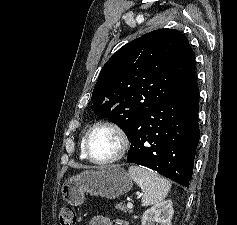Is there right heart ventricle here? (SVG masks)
<instances>
[{"label":"right heart ventricle","mask_w":237,"mask_h":225,"mask_svg":"<svg viewBox=\"0 0 237 225\" xmlns=\"http://www.w3.org/2000/svg\"><path fill=\"white\" fill-rule=\"evenodd\" d=\"M83 141H84V139H82V141H81V158H86V156H85V154H84V150H83Z\"/></svg>","instance_id":"right-heart-ventricle-1"}]
</instances>
